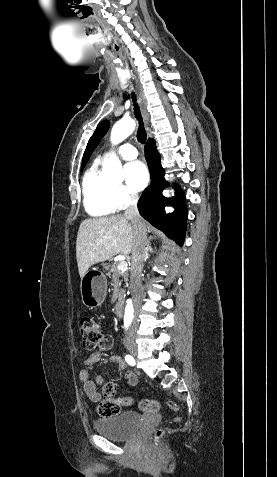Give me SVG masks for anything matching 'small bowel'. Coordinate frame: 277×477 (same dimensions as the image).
I'll use <instances>...</instances> for the list:
<instances>
[{
  "mask_svg": "<svg viewBox=\"0 0 277 477\" xmlns=\"http://www.w3.org/2000/svg\"><path fill=\"white\" fill-rule=\"evenodd\" d=\"M113 346V338L111 336H105L99 342L98 351L91 354L83 361V368L80 370L79 379L82 383L85 394L94 402H98L101 399V394L97 390V385L104 384V378L102 375H96L94 379H91L90 370L100 361L102 352L110 350ZM108 362L117 363L121 372L125 369V363L117 355L110 356ZM122 377L130 387L135 386L138 382L137 376L131 372L122 374ZM131 404L132 400L130 398L123 399V405Z\"/></svg>",
  "mask_w": 277,
  "mask_h": 477,
  "instance_id": "c3829d8e",
  "label": "small bowel"
}]
</instances>
